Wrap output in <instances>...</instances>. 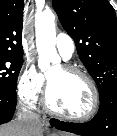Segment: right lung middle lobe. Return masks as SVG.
<instances>
[{"label":"right lung middle lobe","mask_w":117,"mask_h":136,"mask_svg":"<svg viewBox=\"0 0 117 136\" xmlns=\"http://www.w3.org/2000/svg\"><path fill=\"white\" fill-rule=\"evenodd\" d=\"M22 57L0 56V91L16 93Z\"/></svg>","instance_id":"1"}]
</instances>
